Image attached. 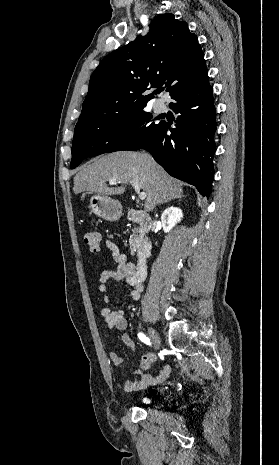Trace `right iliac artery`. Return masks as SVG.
<instances>
[{
  "label": "right iliac artery",
  "mask_w": 279,
  "mask_h": 465,
  "mask_svg": "<svg viewBox=\"0 0 279 465\" xmlns=\"http://www.w3.org/2000/svg\"><path fill=\"white\" fill-rule=\"evenodd\" d=\"M139 339L147 345H151L150 339L143 333L138 334Z\"/></svg>",
  "instance_id": "right-iliac-artery-1"
}]
</instances>
